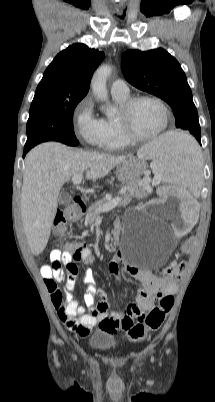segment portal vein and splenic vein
<instances>
[{
  "mask_svg": "<svg viewBox=\"0 0 215 402\" xmlns=\"http://www.w3.org/2000/svg\"><path fill=\"white\" fill-rule=\"evenodd\" d=\"M82 177H83L82 174L75 175L72 178L73 184L74 185H79L81 183V181H82ZM160 177H161V174H158L157 179L153 180V185H157L159 183ZM148 181L149 180H145V183L144 184L141 183V184L145 185ZM124 192H125V189L121 191V193H124ZM121 200L122 199L120 197L114 198L113 200H111L108 203H106L103 207L99 208V210H98L99 213L108 212L109 210H112L113 208H115L121 202Z\"/></svg>",
  "mask_w": 215,
  "mask_h": 402,
  "instance_id": "1",
  "label": "portal vein and splenic vein"
}]
</instances>
